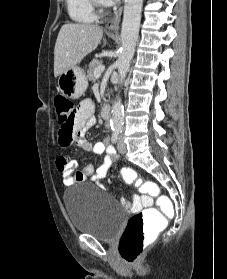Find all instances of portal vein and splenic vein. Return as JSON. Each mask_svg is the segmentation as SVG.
Wrapping results in <instances>:
<instances>
[{
	"instance_id": "obj_1",
	"label": "portal vein and splenic vein",
	"mask_w": 227,
	"mask_h": 279,
	"mask_svg": "<svg viewBox=\"0 0 227 279\" xmlns=\"http://www.w3.org/2000/svg\"><path fill=\"white\" fill-rule=\"evenodd\" d=\"M104 69H105V66L101 65L95 70L94 76H95L96 79L100 78Z\"/></svg>"
}]
</instances>
